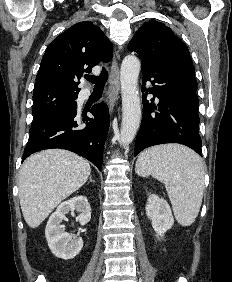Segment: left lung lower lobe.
Listing matches in <instances>:
<instances>
[{
	"mask_svg": "<svg viewBox=\"0 0 232 282\" xmlns=\"http://www.w3.org/2000/svg\"><path fill=\"white\" fill-rule=\"evenodd\" d=\"M143 83L151 81L153 87L146 90L158 97V107L143 99L141 126L135 142V156L153 145L180 143L201 154L199 136V101L196 95L197 81L193 75L177 72L155 73L143 69ZM158 110L159 112H154Z\"/></svg>",
	"mask_w": 232,
	"mask_h": 282,
	"instance_id": "left-lung-lower-lobe-1",
	"label": "left lung lower lobe"
}]
</instances>
